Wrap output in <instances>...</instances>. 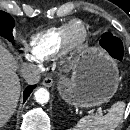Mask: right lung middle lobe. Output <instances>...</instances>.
Returning a JSON list of instances; mask_svg holds the SVG:
<instances>
[{
	"label": "right lung middle lobe",
	"instance_id": "1",
	"mask_svg": "<svg viewBox=\"0 0 130 130\" xmlns=\"http://www.w3.org/2000/svg\"><path fill=\"white\" fill-rule=\"evenodd\" d=\"M14 24V19L8 13L0 11V36L12 41Z\"/></svg>",
	"mask_w": 130,
	"mask_h": 130
}]
</instances>
